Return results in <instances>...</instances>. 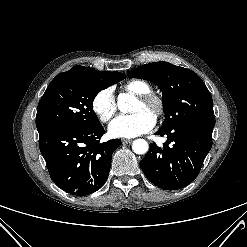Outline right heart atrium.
<instances>
[{
	"mask_svg": "<svg viewBox=\"0 0 247 247\" xmlns=\"http://www.w3.org/2000/svg\"><path fill=\"white\" fill-rule=\"evenodd\" d=\"M92 110L102 123H108L117 112V103L112 88L99 90L92 99Z\"/></svg>",
	"mask_w": 247,
	"mask_h": 247,
	"instance_id": "1",
	"label": "right heart atrium"
}]
</instances>
